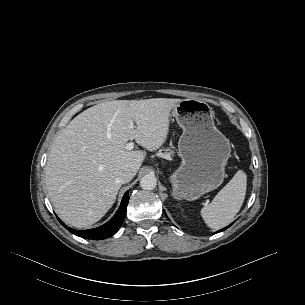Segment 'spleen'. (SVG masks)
<instances>
[{"mask_svg":"<svg viewBox=\"0 0 305 305\" xmlns=\"http://www.w3.org/2000/svg\"><path fill=\"white\" fill-rule=\"evenodd\" d=\"M246 186V174L242 170L237 171L213 201L201 209V216L208 227L220 229L234 219L244 202Z\"/></svg>","mask_w":305,"mask_h":305,"instance_id":"3e777b00","label":"spleen"}]
</instances>
